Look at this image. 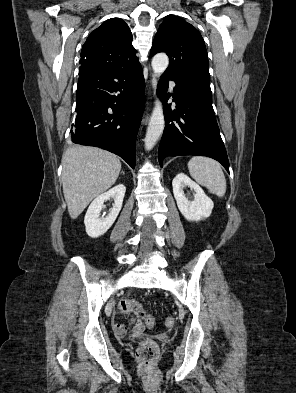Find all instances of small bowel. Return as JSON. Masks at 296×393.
Wrapping results in <instances>:
<instances>
[{"label":"small bowel","instance_id":"obj_1","mask_svg":"<svg viewBox=\"0 0 296 393\" xmlns=\"http://www.w3.org/2000/svg\"><path fill=\"white\" fill-rule=\"evenodd\" d=\"M119 309L121 311L120 304H119ZM114 329L119 334H126V333L140 334L144 331L145 325L138 318H133L131 322L128 324L115 323Z\"/></svg>","mask_w":296,"mask_h":393}]
</instances>
